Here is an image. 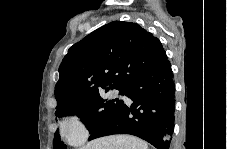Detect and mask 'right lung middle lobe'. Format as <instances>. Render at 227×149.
<instances>
[{
	"label": "right lung middle lobe",
	"mask_w": 227,
	"mask_h": 149,
	"mask_svg": "<svg viewBox=\"0 0 227 149\" xmlns=\"http://www.w3.org/2000/svg\"><path fill=\"white\" fill-rule=\"evenodd\" d=\"M102 88L104 87L95 89L83 97L66 102L60 108H56V115L75 114L82 119L88 130L92 132L101 123L110 118L123 104V101L119 99H103L101 97ZM110 88H115L119 90L120 94L124 95L125 87L111 86ZM53 146L54 149H66V145L61 142L58 132L55 133Z\"/></svg>",
	"instance_id": "obj_1"
}]
</instances>
